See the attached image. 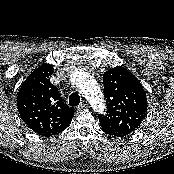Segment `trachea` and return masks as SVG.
I'll use <instances>...</instances> for the list:
<instances>
[{
    "instance_id": "obj_1",
    "label": "trachea",
    "mask_w": 174,
    "mask_h": 174,
    "mask_svg": "<svg viewBox=\"0 0 174 174\" xmlns=\"http://www.w3.org/2000/svg\"><path fill=\"white\" fill-rule=\"evenodd\" d=\"M80 103V96L78 93L74 92L69 96V105L77 106Z\"/></svg>"
}]
</instances>
